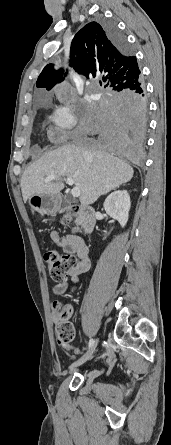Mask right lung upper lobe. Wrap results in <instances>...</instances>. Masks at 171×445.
Masks as SVG:
<instances>
[{
  "label": "right lung upper lobe",
  "mask_w": 171,
  "mask_h": 445,
  "mask_svg": "<svg viewBox=\"0 0 171 445\" xmlns=\"http://www.w3.org/2000/svg\"><path fill=\"white\" fill-rule=\"evenodd\" d=\"M71 66L86 77L103 75L111 91H123L142 81L137 59L130 50L121 51L110 41L102 24L90 22L74 36L71 44ZM53 64L45 66L36 86L50 90L63 80V70H54Z\"/></svg>",
  "instance_id": "1"
}]
</instances>
